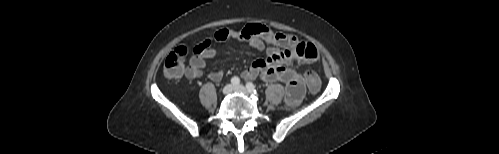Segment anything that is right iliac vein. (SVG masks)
<instances>
[{
	"label": "right iliac vein",
	"instance_id": "63e3f726",
	"mask_svg": "<svg viewBox=\"0 0 499 154\" xmlns=\"http://www.w3.org/2000/svg\"><path fill=\"white\" fill-rule=\"evenodd\" d=\"M233 89H234L233 85L228 84V85H226V86L223 88L222 92H223V94H225V95H226V94L231 93V92L233 91Z\"/></svg>",
	"mask_w": 499,
	"mask_h": 154
}]
</instances>
